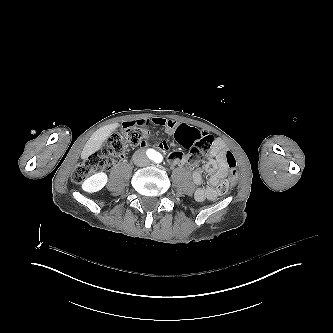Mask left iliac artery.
I'll list each match as a JSON object with an SVG mask.
<instances>
[{
	"label": "left iliac artery",
	"instance_id": "obj_1",
	"mask_svg": "<svg viewBox=\"0 0 333 333\" xmlns=\"http://www.w3.org/2000/svg\"><path fill=\"white\" fill-rule=\"evenodd\" d=\"M154 161H155L156 163L161 162V161H162V155L159 154V153H157L156 156H155V158H154Z\"/></svg>",
	"mask_w": 333,
	"mask_h": 333
}]
</instances>
